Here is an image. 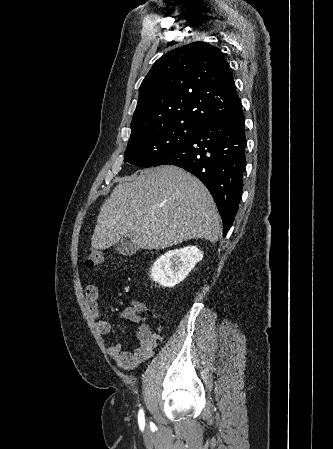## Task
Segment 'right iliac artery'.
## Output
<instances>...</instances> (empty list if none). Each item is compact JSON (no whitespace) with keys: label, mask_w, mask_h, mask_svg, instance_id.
Masks as SVG:
<instances>
[{"label":"right iliac artery","mask_w":333,"mask_h":449,"mask_svg":"<svg viewBox=\"0 0 333 449\" xmlns=\"http://www.w3.org/2000/svg\"><path fill=\"white\" fill-rule=\"evenodd\" d=\"M144 412H143V410L141 409L140 411H139V413H138V422H139V425H144Z\"/></svg>","instance_id":"right-iliac-artery-1"}]
</instances>
